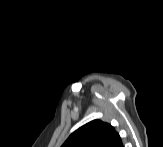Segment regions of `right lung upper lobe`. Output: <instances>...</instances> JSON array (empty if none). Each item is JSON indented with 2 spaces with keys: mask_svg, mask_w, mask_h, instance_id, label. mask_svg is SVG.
<instances>
[{
  "mask_svg": "<svg viewBox=\"0 0 163 147\" xmlns=\"http://www.w3.org/2000/svg\"><path fill=\"white\" fill-rule=\"evenodd\" d=\"M120 142L110 124L94 120L72 133L62 147H116Z\"/></svg>",
  "mask_w": 163,
  "mask_h": 147,
  "instance_id": "right-lung-upper-lobe-1",
  "label": "right lung upper lobe"
}]
</instances>
